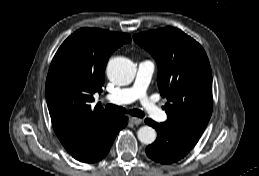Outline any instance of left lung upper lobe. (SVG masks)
I'll return each instance as SVG.
<instances>
[{"label": "left lung upper lobe", "instance_id": "5c2ea615", "mask_svg": "<svg viewBox=\"0 0 259 176\" xmlns=\"http://www.w3.org/2000/svg\"><path fill=\"white\" fill-rule=\"evenodd\" d=\"M133 38L158 64V87L161 96L167 97L164 123L200 138L212 113V73L202 46L173 27Z\"/></svg>", "mask_w": 259, "mask_h": 176}]
</instances>
